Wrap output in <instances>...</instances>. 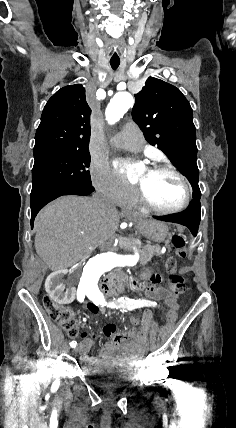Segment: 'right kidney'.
Masks as SVG:
<instances>
[{"label":"right kidney","instance_id":"ca27d5eb","mask_svg":"<svg viewBox=\"0 0 236 428\" xmlns=\"http://www.w3.org/2000/svg\"><path fill=\"white\" fill-rule=\"evenodd\" d=\"M69 269H50L46 278V289L51 293V300L55 306H66L71 304L73 296L71 292L77 291L76 283H64L70 277Z\"/></svg>","mask_w":236,"mask_h":428}]
</instances>
